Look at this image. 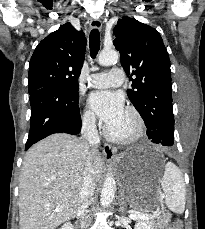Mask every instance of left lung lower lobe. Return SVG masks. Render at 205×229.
<instances>
[{
    "instance_id": "left-lung-lower-lobe-1",
    "label": "left lung lower lobe",
    "mask_w": 205,
    "mask_h": 229,
    "mask_svg": "<svg viewBox=\"0 0 205 229\" xmlns=\"http://www.w3.org/2000/svg\"><path fill=\"white\" fill-rule=\"evenodd\" d=\"M156 130H157V131H152V134H153V135H151V134L148 135V137H149L150 139L154 140L153 143H159V142L161 141V138H164V137H165V136L163 135L164 132H163L162 129L156 128ZM151 142H152V141H151Z\"/></svg>"
}]
</instances>
